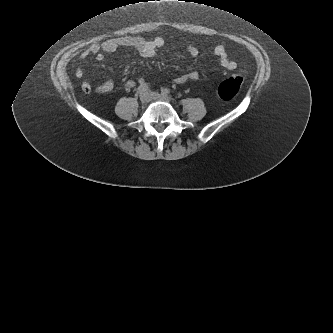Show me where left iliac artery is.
<instances>
[{
  "instance_id": "44dca946",
  "label": "left iliac artery",
  "mask_w": 333,
  "mask_h": 333,
  "mask_svg": "<svg viewBox=\"0 0 333 333\" xmlns=\"http://www.w3.org/2000/svg\"><path fill=\"white\" fill-rule=\"evenodd\" d=\"M169 93H170V89H168V88L162 89V94L163 95H168Z\"/></svg>"
}]
</instances>
